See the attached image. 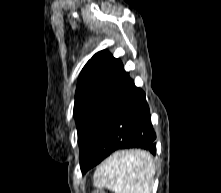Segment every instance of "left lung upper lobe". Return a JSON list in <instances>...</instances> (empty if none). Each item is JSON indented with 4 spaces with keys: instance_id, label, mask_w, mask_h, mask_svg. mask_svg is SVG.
Returning <instances> with one entry per match:
<instances>
[{
    "instance_id": "obj_1",
    "label": "left lung upper lobe",
    "mask_w": 221,
    "mask_h": 193,
    "mask_svg": "<svg viewBox=\"0 0 221 193\" xmlns=\"http://www.w3.org/2000/svg\"><path fill=\"white\" fill-rule=\"evenodd\" d=\"M125 76L121 61L105 50L96 53L80 73L74 117L81 170L109 125L110 109Z\"/></svg>"
}]
</instances>
